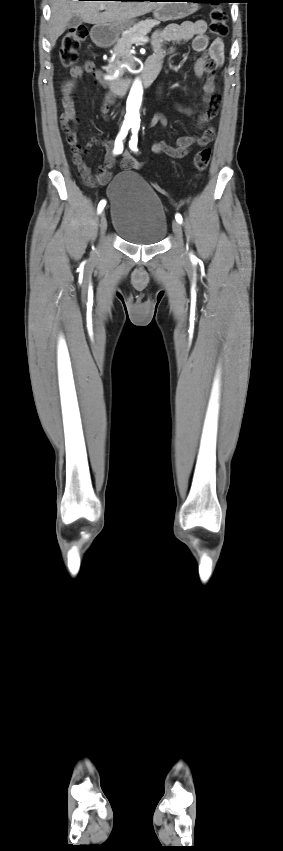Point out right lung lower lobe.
<instances>
[{
  "instance_id": "obj_1",
  "label": "right lung lower lobe",
  "mask_w": 283,
  "mask_h": 851,
  "mask_svg": "<svg viewBox=\"0 0 283 851\" xmlns=\"http://www.w3.org/2000/svg\"><path fill=\"white\" fill-rule=\"evenodd\" d=\"M122 1H157V0H122Z\"/></svg>"
}]
</instances>
